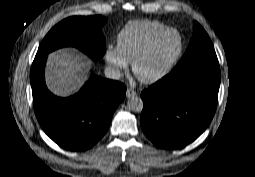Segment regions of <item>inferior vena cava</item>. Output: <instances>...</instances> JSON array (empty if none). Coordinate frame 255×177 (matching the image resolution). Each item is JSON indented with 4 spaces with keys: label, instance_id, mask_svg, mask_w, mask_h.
<instances>
[{
    "label": "inferior vena cava",
    "instance_id": "602c4592",
    "mask_svg": "<svg viewBox=\"0 0 255 177\" xmlns=\"http://www.w3.org/2000/svg\"><path fill=\"white\" fill-rule=\"evenodd\" d=\"M105 77L112 80H119L122 76L121 71L113 66H107L104 70Z\"/></svg>",
    "mask_w": 255,
    "mask_h": 177
}]
</instances>
